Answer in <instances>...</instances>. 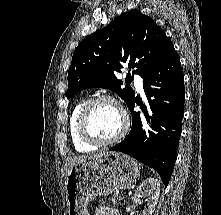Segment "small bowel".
Wrapping results in <instances>:
<instances>
[{
	"mask_svg": "<svg viewBox=\"0 0 221 215\" xmlns=\"http://www.w3.org/2000/svg\"><path fill=\"white\" fill-rule=\"evenodd\" d=\"M94 215H118V212L111 207H100L95 210Z\"/></svg>",
	"mask_w": 221,
	"mask_h": 215,
	"instance_id": "1",
	"label": "small bowel"
}]
</instances>
